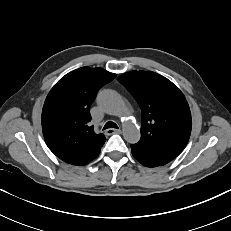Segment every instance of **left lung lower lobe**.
<instances>
[{
    "label": "left lung lower lobe",
    "instance_id": "1",
    "mask_svg": "<svg viewBox=\"0 0 231 231\" xmlns=\"http://www.w3.org/2000/svg\"><path fill=\"white\" fill-rule=\"evenodd\" d=\"M131 151L136 160L146 167L162 166L173 160L176 155L159 149L131 145Z\"/></svg>",
    "mask_w": 231,
    "mask_h": 231
}]
</instances>
